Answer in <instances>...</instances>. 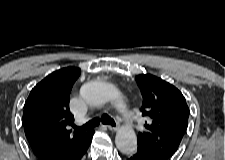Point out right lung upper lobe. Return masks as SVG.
I'll return each instance as SVG.
<instances>
[{"mask_svg": "<svg viewBox=\"0 0 225 160\" xmlns=\"http://www.w3.org/2000/svg\"><path fill=\"white\" fill-rule=\"evenodd\" d=\"M81 70L67 67L49 74L30 92L24 105L25 135L36 156L72 154L89 141L94 131H73L70 92Z\"/></svg>", "mask_w": 225, "mask_h": 160, "instance_id": "right-lung-upper-lobe-1", "label": "right lung upper lobe"}]
</instances>
